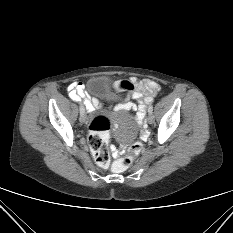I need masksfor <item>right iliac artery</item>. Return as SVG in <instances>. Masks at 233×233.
Segmentation results:
<instances>
[{
	"mask_svg": "<svg viewBox=\"0 0 233 233\" xmlns=\"http://www.w3.org/2000/svg\"><path fill=\"white\" fill-rule=\"evenodd\" d=\"M76 101H79L80 99L78 97L75 98ZM85 109L83 107H80V113H83Z\"/></svg>",
	"mask_w": 233,
	"mask_h": 233,
	"instance_id": "82829eb1",
	"label": "right iliac artery"
}]
</instances>
